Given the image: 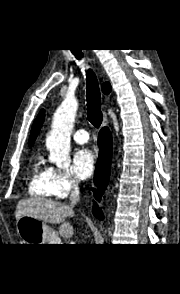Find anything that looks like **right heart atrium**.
I'll return each instance as SVG.
<instances>
[{"label":"right heart atrium","instance_id":"right-heart-atrium-1","mask_svg":"<svg viewBox=\"0 0 180 294\" xmlns=\"http://www.w3.org/2000/svg\"><path fill=\"white\" fill-rule=\"evenodd\" d=\"M53 195L57 198H65L78 186V181L67 171L52 168Z\"/></svg>","mask_w":180,"mask_h":294}]
</instances>
